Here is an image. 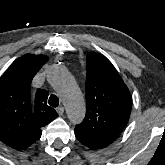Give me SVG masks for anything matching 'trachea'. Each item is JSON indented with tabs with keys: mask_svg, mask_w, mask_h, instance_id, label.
Returning <instances> with one entry per match:
<instances>
[{
	"mask_svg": "<svg viewBox=\"0 0 165 165\" xmlns=\"http://www.w3.org/2000/svg\"><path fill=\"white\" fill-rule=\"evenodd\" d=\"M48 103L52 107H57L59 105V99H58V97L56 95L52 94L49 97Z\"/></svg>",
	"mask_w": 165,
	"mask_h": 165,
	"instance_id": "3493384b",
	"label": "trachea"
}]
</instances>
